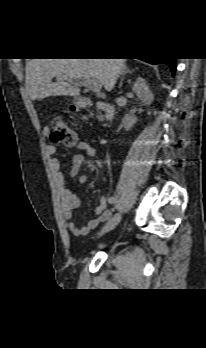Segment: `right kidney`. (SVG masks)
<instances>
[{
    "instance_id": "obj_1",
    "label": "right kidney",
    "mask_w": 206,
    "mask_h": 348,
    "mask_svg": "<svg viewBox=\"0 0 206 348\" xmlns=\"http://www.w3.org/2000/svg\"><path fill=\"white\" fill-rule=\"evenodd\" d=\"M133 91L141 99L145 105H150L153 102L154 96L142 78H138L133 85ZM137 122V117L134 113H130L123 118V125L126 131H129Z\"/></svg>"
}]
</instances>
